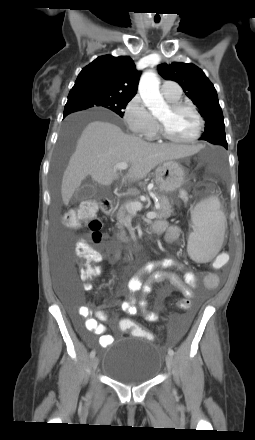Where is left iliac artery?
I'll return each instance as SVG.
<instances>
[{"instance_id":"44dca946","label":"left iliac artery","mask_w":255,"mask_h":440,"mask_svg":"<svg viewBox=\"0 0 255 440\" xmlns=\"http://www.w3.org/2000/svg\"><path fill=\"white\" fill-rule=\"evenodd\" d=\"M168 354L171 355V356H173V355H174V351H173L172 349H169V350H168Z\"/></svg>"}]
</instances>
